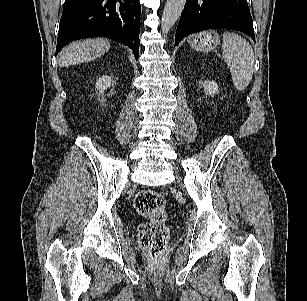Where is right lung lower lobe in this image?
<instances>
[{
    "label": "right lung lower lobe",
    "mask_w": 307,
    "mask_h": 301,
    "mask_svg": "<svg viewBox=\"0 0 307 301\" xmlns=\"http://www.w3.org/2000/svg\"><path fill=\"white\" fill-rule=\"evenodd\" d=\"M139 0H65L56 54L69 42L93 36L113 39L139 54Z\"/></svg>",
    "instance_id": "obj_1"
}]
</instances>
